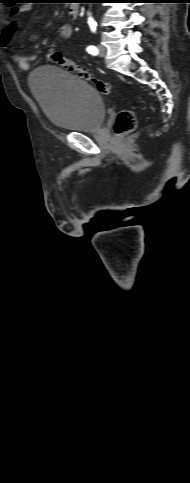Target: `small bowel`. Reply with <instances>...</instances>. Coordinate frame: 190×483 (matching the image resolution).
<instances>
[{"label": "small bowel", "mask_w": 190, "mask_h": 483, "mask_svg": "<svg viewBox=\"0 0 190 483\" xmlns=\"http://www.w3.org/2000/svg\"><path fill=\"white\" fill-rule=\"evenodd\" d=\"M30 9V6L24 5L13 10V15H17L23 11ZM16 23L14 20L8 21L0 32V43L7 50L10 58L18 65L21 70H28L30 62L35 59V56H21L16 54L9 46L10 41L15 33ZM73 28L70 24H63L58 29V36L61 39H69L72 36Z\"/></svg>", "instance_id": "1"}]
</instances>
